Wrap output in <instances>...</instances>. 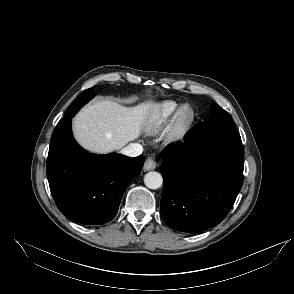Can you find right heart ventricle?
Returning a JSON list of instances; mask_svg holds the SVG:
<instances>
[{"label": "right heart ventricle", "mask_w": 294, "mask_h": 294, "mask_svg": "<svg viewBox=\"0 0 294 294\" xmlns=\"http://www.w3.org/2000/svg\"><path fill=\"white\" fill-rule=\"evenodd\" d=\"M180 104L173 100H165L154 104L149 110L145 129L149 134L157 133L178 110Z\"/></svg>", "instance_id": "1"}]
</instances>
